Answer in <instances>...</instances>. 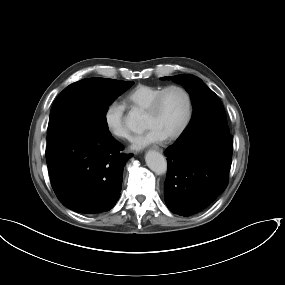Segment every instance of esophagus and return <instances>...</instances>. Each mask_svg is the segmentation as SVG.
<instances>
[{"label": "esophagus", "mask_w": 285, "mask_h": 285, "mask_svg": "<svg viewBox=\"0 0 285 285\" xmlns=\"http://www.w3.org/2000/svg\"><path fill=\"white\" fill-rule=\"evenodd\" d=\"M153 149H154V150H157V151H159V152H163V149L160 148V147H158V146H153Z\"/></svg>", "instance_id": "obj_1"}]
</instances>
